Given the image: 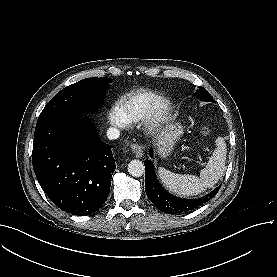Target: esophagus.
I'll return each mask as SVG.
<instances>
[{
    "mask_svg": "<svg viewBox=\"0 0 277 277\" xmlns=\"http://www.w3.org/2000/svg\"><path fill=\"white\" fill-rule=\"evenodd\" d=\"M132 152L137 158H141L143 155V146L138 143H133L131 145Z\"/></svg>",
    "mask_w": 277,
    "mask_h": 277,
    "instance_id": "1",
    "label": "esophagus"
}]
</instances>
